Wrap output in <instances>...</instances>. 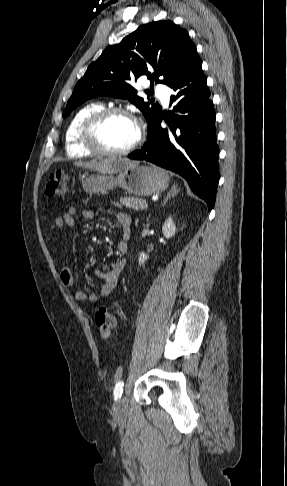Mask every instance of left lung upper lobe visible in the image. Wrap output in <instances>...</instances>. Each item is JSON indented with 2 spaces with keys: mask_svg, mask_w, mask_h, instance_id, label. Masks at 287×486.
<instances>
[{
  "mask_svg": "<svg viewBox=\"0 0 287 486\" xmlns=\"http://www.w3.org/2000/svg\"><path fill=\"white\" fill-rule=\"evenodd\" d=\"M195 44L186 30L172 21H156L140 26L121 43L107 47L92 62L85 75L76 84L66 112L97 96L128 99L145 116L148 128L161 116L162 108L154 101L145 102L136 95L134 81L146 75L166 85L176 80L197 58ZM155 72L152 74L151 70ZM162 77V80H158ZM150 94L149 90H146Z\"/></svg>",
  "mask_w": 287,
  "mask_h": 486,
  "instance_id": "5c2ea615",
  "label": "left lung upper lobe"
}]
</instances>
